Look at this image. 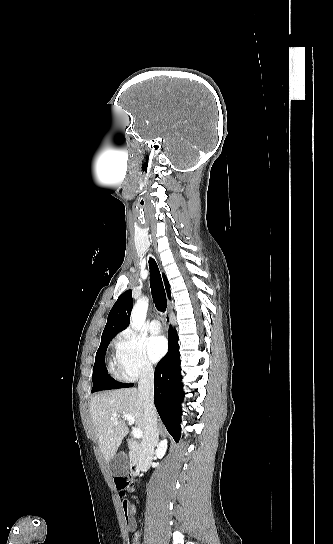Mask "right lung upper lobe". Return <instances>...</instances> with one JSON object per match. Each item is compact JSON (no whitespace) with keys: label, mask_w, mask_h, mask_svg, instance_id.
Wrapping results in <instances>:
<instances>
[{"label":"right lung upper lobe","mask_w":333,"mask_h":544,"mask_svg":"<svg viewBox=\"0 0 333 544\" xmlns=\"http://www.w3.org/2000/svg\"><path fill=\"white\" fill-rule=\"evenodd\" d=\"M163 279L167 294L168 296H170V285L165 275H163ZM132 307L133 299L131 295V290H127L122 295H120V297L113 305L107 319V324L102 333L101 340L113 338L117 333L127 328L130 322V313Z\"/></svg>","instance_id":"cb5924a9"}]
</instances>
